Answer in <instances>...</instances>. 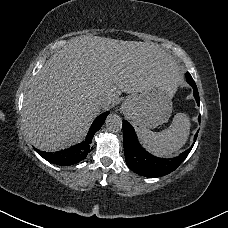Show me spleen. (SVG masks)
Segmentation results:
<instances>
[{"label": "spleen", "mask_w": 228, "mask_h": 228, "mask_svg": "<svg viewBox=\"0 0 228 228\" xmlns=\"http://www.w3.org/2000/svg\"><path fill=\"white\" fill-rule=\"evenodd\" d=\"M190 126L188 115L177 113L171 125L161 132H153L143 125H139L137 131L140 141L148 151L159 157H168L187 142Z\"/></svg>", "instance_id": "spleen-1"}]
</instances>
